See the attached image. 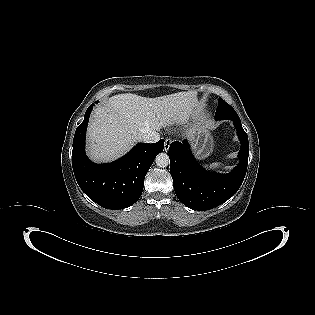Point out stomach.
<instances>
[{"label": "stomach", "instance_id": "0dacf381", "mask_svg": "<svg viewBox=\"0 0 315 315\" xmlns=\"http://www.w3.org/2000/svg\"><path fill=\"white\" fill-rule=\"evenodd\" d=\"M193 149L198 159H205L212 152L213 139L209 131L201 124H194L189 130Z\"/></svg>", "mask_w": 315, "mask_h": 315}]
</instances>
